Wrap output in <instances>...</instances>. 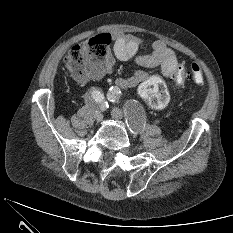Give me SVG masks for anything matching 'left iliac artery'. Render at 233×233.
Segmentation results:
<instances>
[{
  "mask_svg": "<svg viewBox=\"0 0 233 233\" xmlns=\"http://www.w3.org/2000/svg\"><path fill=\"white\" fill-rule=\"evenodd\" d=\"M121 91L118 87H111L109 93L107 94L108 100L114 103L121 101Z\"/></svg>",
  "mask_w": 233,
  "mask_h": 233,
  "instance_id": "obj_1",
  "label": "left iliac artery"
}]
</instances>
